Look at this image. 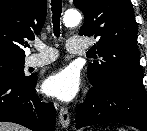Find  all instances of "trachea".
Here are the masks:
<instances>
[{
  "instance_id": "1",
  "label": "trachea",
  "mask_w": 147,
  "mask_h": 131,
  "mask_svg": "<svg viewBox=\"0 0 147 131\" xmlns=\"http://www.w3.org/2000/svg\"><path fill=\"white\" fill-rule=\"evenodd\" d=\"M52 22L54 35L60 36V17L62 13V0H51Z\"/></svg>"
}]
</instances>
